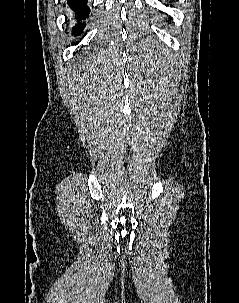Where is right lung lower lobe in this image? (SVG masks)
I'll list each match as a JSON object with an SVG mask.
<instances>
[{
  "mask_svg": "<svg viewBox=\"0 0 239 303\" xmlns=\"http://www.w3.org/2000/svg\"><path fill=\"white\" fill-rule=\"evenodd\" d=\"M67 4L69 7L76 13V15L81 16L83 18H87L89 16L90 8L87 6V0H67ZM84 28V24L78 23L72 30L74 35H78L82 33Z\"/></svg>",
  "mask_w": 239,
  "mask_h": 303,
  "instance_id": "1",
  "label": "right lung lower lobe"
}]
</instances>
